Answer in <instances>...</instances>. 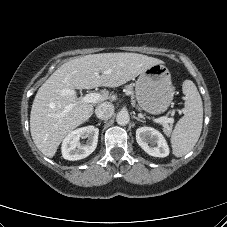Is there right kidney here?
<instances>
[{"label": "right kidney", "instance_id": "right-kidney-1", "mask_svg": "<svg viewBox=\"0 0 227 227\" xmlns=\"http://www.w3.org/2000/svg\"><path fill=\"white\" fill-rule=\"evenodd\" d=\"M99 129L94 126L78 128L70 132L62 142V156L66 160H80L89 156L97 147ZM80 138H87L84 145Z\"/></svg>", "mask_w": 227, "mask_h": 227}]
</instances>
